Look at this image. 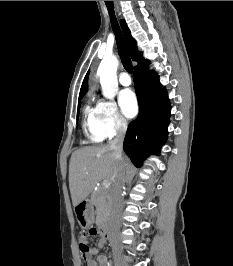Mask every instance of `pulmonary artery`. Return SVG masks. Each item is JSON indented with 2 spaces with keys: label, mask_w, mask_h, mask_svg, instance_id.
<instances>
[{
  "label": "pulmonary artery",
  "mask_w": 233,
  "mask_h": 266,
  "mask_svg": "<svg viewBox=\"0 0 233 266\" xmlns=\"http://www.w3.org/2000/svg\"><path fill=\"white\" fill-rule=\"evenodd\" d=\"M119 83L123 86H129L131 84V78L126 72H122L119 75Z\"/></svg>",
  "instance_id": "obj_1"
}]
</instances>
